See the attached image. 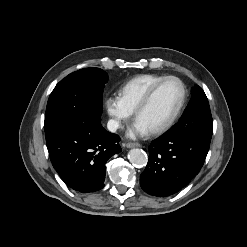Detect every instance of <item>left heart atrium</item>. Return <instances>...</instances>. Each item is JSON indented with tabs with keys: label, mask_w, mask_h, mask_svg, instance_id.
Masks as SVG:
<instances>
[{
	"label": "left heart atrium",
	"mask_w": 247,
	"mask_h": 247,
	"mask_svg": "<svg viewBox=\"0 0 247 247\" xmlns=\"http://www.w3.org/2000/svg\"><path fill=\"white\" fill-rule=\"evenodd\" d=\"M149 134V131L138 121H135L132 125L129 136L130 137H143Z\"/></svg>",
	"instance_id": "obj_1"
}]
</instances>
